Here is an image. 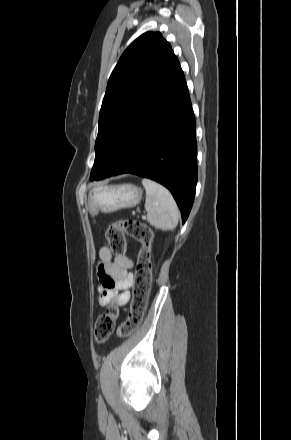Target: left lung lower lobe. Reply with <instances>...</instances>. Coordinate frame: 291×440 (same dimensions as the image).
<instances>
[{
    "label": "left lung lower lobe",
    "mask_w": 291,
    "mask_h": 440,
    "mask_svg": "<svg viewBox=\"0 0 291 440\" xmlns=\"http://www.w3.org/2000/svg\"><path fill=\"white\" fill-rule=\"evenodd\" d=\"M196 121L181 67L139 115L102 172L90 179L131 173L170 190L184 223L197 183Z\"/></svg>",
    "instance_id": "0a47b994"
}]
</instances>
